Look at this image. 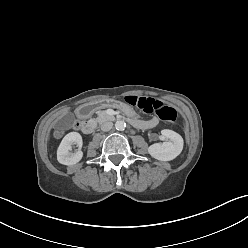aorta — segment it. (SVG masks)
<instances>
[{
  "label": "aorta",
  "instance_id": "1",
  "mask_svg": "<svg viewBox=\"0 0 248 248\" xmlns=\"http://www.w3.org/2000/svg\"><path fill=\"white\" fill-rule=\"evenodd\" d=\"M126 127V123L122 120H118L115 123V128L119 131H123Z\"/></svg>",
  "mask_w": 248,
  "mask_h": 248
}]
</instances>
